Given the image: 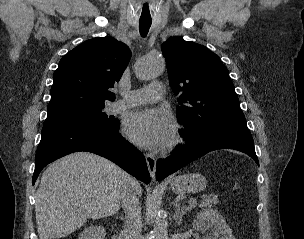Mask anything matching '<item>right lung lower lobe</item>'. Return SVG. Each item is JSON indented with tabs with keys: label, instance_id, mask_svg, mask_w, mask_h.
I'll use <instances>...</instances> for the list:
<instances>
[{
	"label": "right lung lower lobe",
	"instance_id": "1",
	"mask_svg": "<svg viewBox=\"0 0 304 239\" xmlns=\"http://www.w3.org/2000/svg\"><path fill=\"white\" fill-rule=\"evenodd\" d=\"M88 151L105 157L148 184L150 175L143 154L113 128L63 127L42 130L35 157L34 185L41 170L67 154Z\"/></svg>",
	"mask_w": 304,
	"mask_h": 239
}]
</instances>
